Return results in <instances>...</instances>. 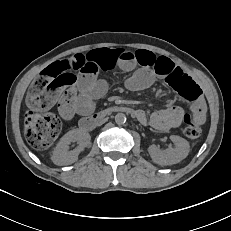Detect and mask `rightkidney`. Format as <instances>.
Masks as SVG:
<instances>
[{
  "label": "right kidney",
  "instance_id": "ca27d5eb",
  "mask_svg": "<svg viewBox=\"0 0 231 231\" xmlns=\"http://www.w3.org/2000/svg\"><path fill=\"white\" fill-rule=\"evenodd\" d=\"M91 136L88 132L81 129H73L68 131L56 145L51 156L52 161L56 165H69L78 160V155L85 147L90 146ZM78 143V147L69 151L70 143Z\"/></svg>",
  "mask_w": 231,
  "mask_h": 231
}]
</instances>
